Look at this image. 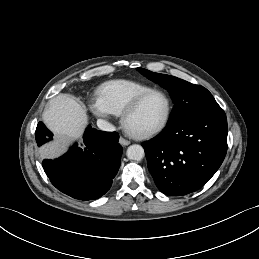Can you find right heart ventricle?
Returning a JSON list of instances; mask_svg holds the SVG:
<instances>
[{"label":"right heart ventricle","instance_id":"e07e8e85","mask_svg":"<svg viewBox=\"0 0 259 259\" xmlns=\"http://www.w3.org/2000/svg\"><path fill=\"white\" fill-rule=\"evenodd\" d=\"M150 89L152 87L141 82L114 80L100 88L99 99L111 114L120 116L135 97Z\"/></svg>","mask_w":259,"mask_h":259}]
</instances>
